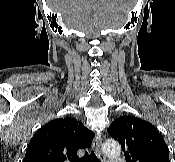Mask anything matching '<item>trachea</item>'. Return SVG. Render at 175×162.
<instances>
[{
  "mask_svg": "<svg viewBox=\"0 0 175 162\" xmlns=\"http://www.w3.org/2000/svg\"><path fill=\"white\" fill-rule=\"evenodd\" d=\"M74 162H100L94 151L87 152L82 158L74 160Z\"/></svg>",
  "mask_w": 175,
  "mask_h": 162,
  "instance_id": "1",
  "label": "trachea"
}]
</instances>
